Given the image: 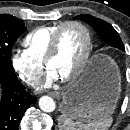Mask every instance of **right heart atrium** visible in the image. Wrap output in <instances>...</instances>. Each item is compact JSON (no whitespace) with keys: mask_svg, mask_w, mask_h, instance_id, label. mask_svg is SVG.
<instances>
[{"mask_svg":"<svg viewBox=\"0 0 130 130\" xmlns=\"http://www.w3.org/2000/svg\"><path fill=\"white\" fill-rule=\"evenodd\" d=\"M10 60L13 70L24 83L29 86H36L39 83L44 66L33 59L26 50H14Z\"/></svg>","mask_w":130,"mask_h":130,"instance_id":"d8ad5b80","label":"right heart atrium"}]
</instances>
